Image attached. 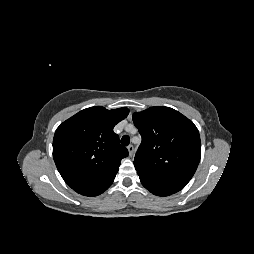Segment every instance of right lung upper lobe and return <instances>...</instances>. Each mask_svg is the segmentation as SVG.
Returning <instances> with one entry per match:
<instances>
[{
    "label": "right lung upper lobe",
    "instance_id": "cb5924a9",
    "mask_svg": "<svg viewBox=\"0 0 254 254\" xmlns=\"http://www.w3.org/2000/svg\"><path fill=\"white\" fill-rule=\"evenodd\" d=\"M128 113L126 107L112 110L102 106L90 107L57 128L53 158L62 178L72 189L117 173L128 150L120 145L113 128Z\"/></svg>",
    "mask_w": 254,
    "mask_h": 254
}]
</instances>
